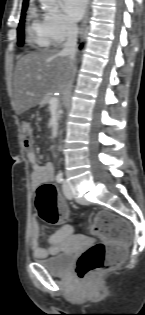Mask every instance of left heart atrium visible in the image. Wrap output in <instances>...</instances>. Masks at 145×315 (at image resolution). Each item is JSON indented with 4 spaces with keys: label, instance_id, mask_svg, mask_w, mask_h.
<instances>
[{
    "label": "left heart atrium",
    "instance_id": "left-heart-atrium-1",
    "mask_svg": "<svg viewBox=\"0 0 145 315\" xmlns=\"http://www.w3.org/2000/svg\"><path fill=\"white\" fill-rule=\"evenodd\" d=\"M87 0H62V7L72 22L80 20L84 14Z\"/></svg>",
    "mask_w": 145,
    "mask_h": 315
}]
</instances>
